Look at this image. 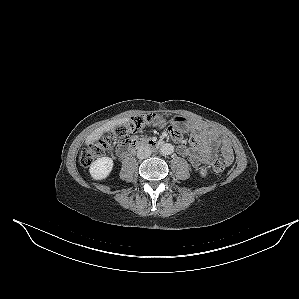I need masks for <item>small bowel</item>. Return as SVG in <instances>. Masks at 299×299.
<instances>
[{
    "mask_svg": "<svg viewBox=\"0 0 299 299\" xmlns=\"http://www.w3.org/2000/svg\"><path fill=\"white\" fill-rule=\"evenodd\" d=\"M191 128L201 135V144L198 146L181 144L178 146L177 150L181 155L188 157L190 163L194 167L212 165L218 158V149L220 150L224 165L232 163L233 150L229 142L218 131L204 129L194 123L191 124ZM170 134L174 141H181V135L177 130L170 131Z\"/></svg>",
    "mask_w": 299,
    "mask_h": 299,
    "instance_id": "c3829d8e",
    "label": "small bowel"
}]
</instances>
